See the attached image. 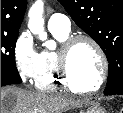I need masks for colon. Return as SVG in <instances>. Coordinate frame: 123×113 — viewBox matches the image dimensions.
Instances as JSON below:
<instances>
[{
	"label": "colon",
	"mask_w": 123,
	"mask_h": 113,
	"mask_svg": "<svg viewBox=\"0 0 123 113\" xmlns=\"http://www.w3.org/2000/svg\"><path fill=\"white\" fill-rule=\"evenodd\" d=\"M120 113H123V107L120 109Z\"/></svg>",
	"instance_id": "obj_1"
}]
</instances>
